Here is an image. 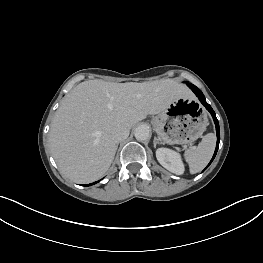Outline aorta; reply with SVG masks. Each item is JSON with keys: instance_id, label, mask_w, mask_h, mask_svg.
Returning <instances> with one entry per match:
<instances>
[{"instance_id": "obj_1", "label": "aorta", "mask_w": 263, "mask_h": 263, "mask_svg": "<svg viewBox=\"0 0 263 263\" xmlns=\"http://www.w3.org/2000/svg\"><path fill=\"white\" fill-rule=\"evenodd\" d=\"M134 136L138 141H145L150 138L151 132L148 126L141 125L134 130Z\"/></svg>"}]
</instances>
